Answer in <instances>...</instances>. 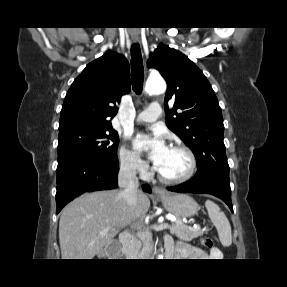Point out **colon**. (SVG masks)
Masks as SVG:
<instances>
[{"mask_svg": "<svg viewBox=\"0 0 287 287\" xmlns=\"http://www.w3.org/2000/svg\"><path fill=\"white\" fill-rule=\"evenodd\" d=\"M201 244L206 247V248H212L213 247V240L212 238L208 237V236H204L201 238ZM112 251V254H116L119 250L118 245L113 244L109 247Z\"/></svg>", "mask_w": 287, "mask_h": 287, "instance_id": "1", "label": "colon"}]
</instances>
